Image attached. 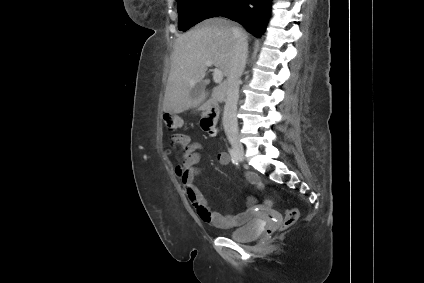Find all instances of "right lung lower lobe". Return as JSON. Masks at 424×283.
I'll use <instances>...</instances> for the list:
<instances>
[{
  "label": "right lung lower lobe",
  "mask_w": 424,
  "mask_h": 283,
  "mask_svg": "<svg viewBox=\"0 0 424 283\" xmlns=\"http://www.w3.org/2000/svg\"><path fill=\"white\" fill-rule=\"evenodd\" d=\"M271 0H235L230 9L220 16L243 25L248 32L260 38L270 16Z\"/></svg>",
  "instance_id": "right-lung-lower-lobe-1"
}]
</instances>
